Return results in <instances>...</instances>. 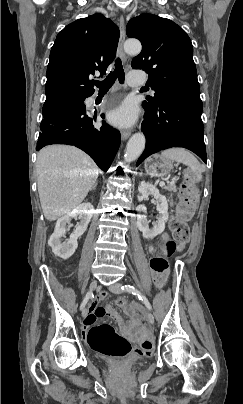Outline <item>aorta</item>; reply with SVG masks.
<instances>
[{"label":"aorta","instance_id":"762f6f07","mask_svg":"<svg viewBox=\"0 0 243 404\" xmlns=\"http://www.w3.org/2000/svg\"><path fill=\"white\" fill-rule=\"evenodd\" d=\"M124 52L126 54H129V56H137V54H140L142 50V46L139 42V40H126L124 42ZM146 140L144 134H134V136H131L127 146H126V152L124 156L125 162H134V160H137L139 156H141L144 148H145Z\"/></svg>","mask_w":243,"mask_h":404}]
</instances>
